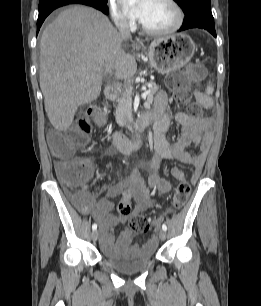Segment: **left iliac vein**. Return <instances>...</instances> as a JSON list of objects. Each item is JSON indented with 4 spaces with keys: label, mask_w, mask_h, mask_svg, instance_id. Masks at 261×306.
<instances>
[{
    "label": "left iliac vein",
    "mask_w": 261,
    "mask_h": 306,
    "mask_svg": "<svg viewBox=\"0 0 261 306\" xmlns=\"http://www.w3.org/2000/svg\"><path fill=\"white\" fill-rule=\"evenodd\" d=\"M158 235L161 240H165L167 237L166 231H164L163 229L159 230Z\"/></svg>",
    "instance_id": "left-iliac-vein-1"
}]
</instances>
